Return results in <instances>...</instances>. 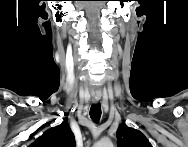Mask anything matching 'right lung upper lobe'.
Instances as JSON below:
<instances>
[{"instance_id":"right-lung-upper-lobe-1","label":"right lung upper lobe","mask_w":188,"mask_h":147,"mask_svg":"<svg viewBox=\"0 0 188 147\" xmlns=\"http://www.w3.org/2000/svg\"><path fill=\"white\" fill-rule=\"evenodd\" d=\"M31 146L33 147H75L74 134L66 119L40 136Z\"/></svg>"}]
</instances>
